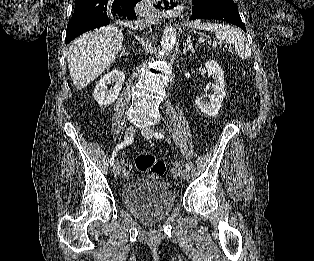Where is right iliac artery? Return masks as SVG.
<instances>
[{"mask_svg": "<svg viewBox=\"0 0 314 261\" xmlns=\"http://www.w3.org/2000/svg\"><path fill=\"white\" fill-rule=\"evenodd\" d=\"M132 141H133L132 138L126 139L125 141L121 142L120 144H118V145L115 147V149H114V151H113V153H112V155H111V158H110V165H111V166H113V164H114L115 156H116L117 152H118L121 148H123L124 146H126V145L132 143Z\"/></svg>", "mask_w": 314, "mask_h": 261, "instance_id": "obj_1", "label": "right iliac artery"}]
</instances>
